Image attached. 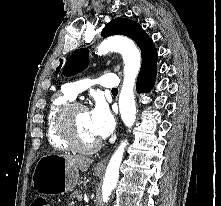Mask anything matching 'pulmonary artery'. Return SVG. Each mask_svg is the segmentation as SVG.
<instances>
[{"mask_svg": "<svg viewBox=\"0 0 221 206\" xmlns=\"http://www.w3.org/2000/svg\"><path fill=\"white\" fill-rule=\"evenodd\" d=\"M119 78L115 74H104L95 79H84L65 86V92L73 99L91 85H99L105 88L116 89L119 86Z\"/></svg>", "mask_w": 221, "mask_h": 206, "instance_id": "e3ab8cb5", "label": "pulmonary artery"}]
</instances>
